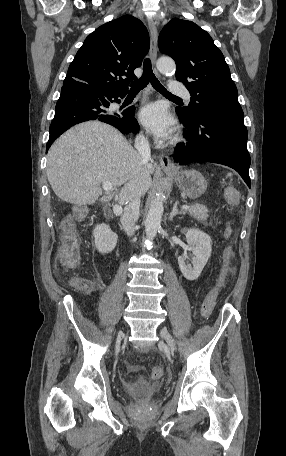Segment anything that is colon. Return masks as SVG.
I'll return each instance as SVG.
<instances>
[{"label":"colon","mask_w":286,"mask_h":456,"mask_svg":"<svg viewBox=\"0 0 286 456\" xmlns=\"http://www.w3.org/2000/svg\"><path fill=\"white\" fill-rule=\"evenodd\" d=\"M225 195L227 201L231 205H236L239 201V193L238 191L231 186L225 188ZM78 212H76V216ZM79 247H80V239L76 232L75 225L73 221H67L64 224V231L62 236V245L58 255V261L60 266L65 269H74L78 266L79 263ZM232 256V251L228 250L226 253V261L222 268L221 272V280H223L226 276H231L235 274V268L230 265V258ZM69 283L80 290H88L93 287V283L91 280L84 278V277H71L69 278ZM217 299V289H212L208 294L205 296L202 306H201V315L204 318H207L213 308L215 306ZM130 370L134 368L132 366L129 367ZM164 375V369L161 366H154L151 370V377L154 380H159Z\"/></svg>","instance_id":"obj_1"}]
</instances>
